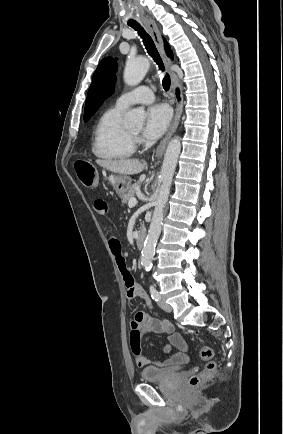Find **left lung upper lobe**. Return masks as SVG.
I'll return each instance as SVG.
<instances>
[{"label":"left lung upper lobe","instance_id":"left-lung-upper-lobe-1","mask_svg":"<svg viewBox=\"0 0 283 434\" xmlns=\"http://www.w3.org/2000/svg\"><path fill=\"white\" fill-rule=\"evenodd\" d=\"M117 67V62L112 57H107L99 63L87 94L84 111L85 122L97 111L103 101L113 93Z\"/></svg>","mask_w":283,"mask_h":434}]
</instances>
